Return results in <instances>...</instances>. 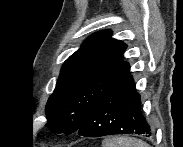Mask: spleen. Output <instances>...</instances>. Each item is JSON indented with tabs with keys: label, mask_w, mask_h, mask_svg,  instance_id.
I'll return each mask as SVG.
<instances>
[{
	"label": "spleen",
	"mask_w": 183,
	"mask_h": 147,
	"mask_svg": "<svg viewBox=\"0 0 183 147\" xmlns=\"http://www.w3.org/2000/svg\"><path fill=\"white\" fill-rule=\"evenodd\" d=\"M103 147H149L144 141L131 137H111L102 142Z\"/></svg>",
	"instance_id": "obj_1"
}]
</instances>
